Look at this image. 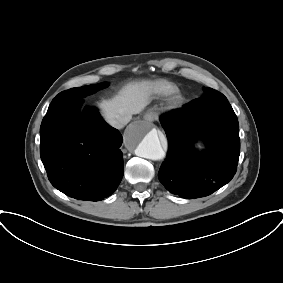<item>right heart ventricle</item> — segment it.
I'll use <instances>...</instances> for the list:
<instances>
[{"label": "right heart ventricle", "mask_w": 283, "mask_h": 283, "mask_svg": "<svg viewBox=\"0 0 283 283\" xmlns=\"http://www.w3.org/2000/svg\"><path fill=\"white\" fill-rule=\"evenodd\" d=\"M157 88L159 89V91H161L162 93H171L174 91V87L166 82L163 81H159L157 83Z\"/></svg>", "instance_id": "right-heart-ventricle-1"}]
</instances>
